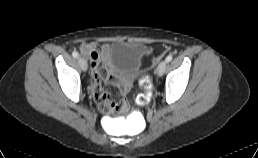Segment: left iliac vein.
Instances as JSON below:
<instances>
[{
    "label": "left iliac vein",
    "mask_w": 258,
    "mask_h": 158,
    "mask_svg": "<svg viewBox=\"0 0 258 158\" xmlns=\"http://www.w3.org/2000/svg\"><path fill=\"white\" fill-rule=\"evenodd\" d=\"M166 65H167V62L166 60L165 61H162L159 65H158V68H157V74L158 76H162L165 72V69H166Z\"/></svg>",
    "instance_id": "left-iliac-vein-1"
}]
</instances>
